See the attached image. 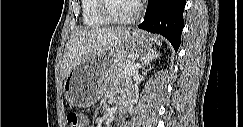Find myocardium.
Here are the masks:
<instances>
[{"label":"myocardium","mask_w":243,"mask_h":127,"mask_svg":"<svg viewBox=\"0 0 243 127\" xmlns=\"http://www.w3.org/2000/svg\"><path fill=\"white\" fill-rule=\"evenodd\" d=\"M110 0H99L101 14L111 23L125 24L131 23L138 19L142 12V6L140 3L134 1V11L131 15L127 17H118L114 15L109 6Z\"/></svg>","instance_id":"myocardium-1"}]
</instances>
